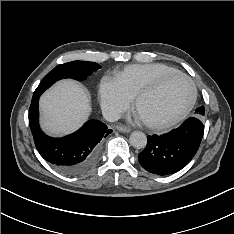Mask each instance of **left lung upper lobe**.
I'll use <instances>...</instances> for the list:
<instances>
[{"label": "left lung upper lobe", "instance_id": "left-lung-upper-lobe-1", "mask_svg": "<svg viewBox=\"0 0 234 234\" xmlns=\"http://www.w3.org/2000/svg\"><path fill=\"white\" fill-rule=\"evenodd\" d=\"M204 107L203 106H201V107H199V108H197L196 110H195V117H198V118H200V119H202L203 118V116H204Z\"/></svg>", "mask_w": 234, "mask_h": 234}]
</instances>
